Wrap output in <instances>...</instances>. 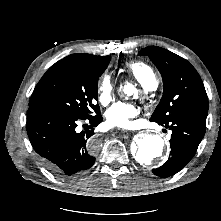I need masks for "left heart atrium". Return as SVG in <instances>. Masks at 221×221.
Instances as JSON below:
<instances>
[{"mask_svg":"<svg viewBox=\"0 0 221 221\" xmlns=\"http://www.w3.org/2000/svg\"><path fill=\"white\" fill-rule=\"evenodd\" d=\"M139 110L132 103L116 102L105 113L106 123L110 127L130 128L132 119L136 117Z\"/></svg>","mask_w":221,"mask_h":221,"instance_id":"left-heart-atrium-1","label":"left heart atrium"}]
</instances>
